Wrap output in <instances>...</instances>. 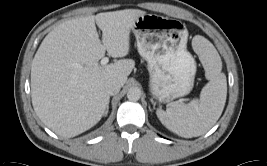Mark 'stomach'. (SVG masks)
I'll return each instance as SVG.
<instances>
[{
    "label": "stomach",
    "mask_w": 267,
    "mask_h": 166,
    "mask_svg": "<svg viewBox=\"0 0 267 166\" xmlns=\"http://www.w3.org/2000/svg\"><path fill=\"white\" fill-rule=\"evenodd\" d=\"M137 49L147 61L150 92L160 103L189 94L196 62L187 51L188 31L179 20L156 14L140 16L133 28Z\"/></svg>",
    "instance_id": "1"
}]
</instances>
